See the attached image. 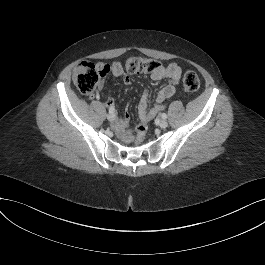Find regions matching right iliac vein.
Wrapping results in <instances>:
<instances>
[{
  "mask_svg": "<svg viewBox=\"0 0 265 265\" xmlns=\"http://www.w3.org/2000/svg\"><path fill=\"white\" fill-rule=\"evenodd\" d=\"M107 118H108V120L109 121H114L115 120V115H114V113L113 112H109L108 114H107Z\"/></svg>",
  "mask_w": 265,
  "mask_h": 265,
  "instance_id": "1",
  "label": "right iliac vein"
}]
</instances>
